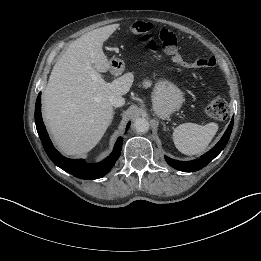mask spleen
I'll list each match as a JSON object with an SVG mask.
<instances>
[{
	"label": "spleen",
	"mask_w": 261,
	"mask_h": 261,
	"mask_svg": "<svg viewBox=\"0 0 261 261\" xmlns=\"http://www.w3.org/2000/svg\"><path fill=\"white\" fill-rule=\"evenodd\" d=\"M217 131L218 125L214 122L206 125L184 123L174 129L173 141L181 153L197 155L206 150Z\"/></svg>",
	"instance_id": "spleen-1"
}]
</instances>
